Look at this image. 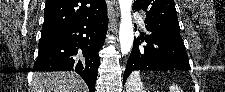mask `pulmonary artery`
<instances>
[{"instance_id":"pulmonary-artery-1","label":"pulmonary artery","mask_w":225,"mask_h":92,"mask_svg":"<svg viewBox=\"0 0 225 92\" xmlns=\"http://www.w3.org/2000/svg\"><path fill=\"white\" fill-rule=\"evenodd\" d=\"M136 20H137L138 24H139L141 27H144V26H145L144 16H143V15L137 14V15H136Z\"/></svg>"}]
</instances>
